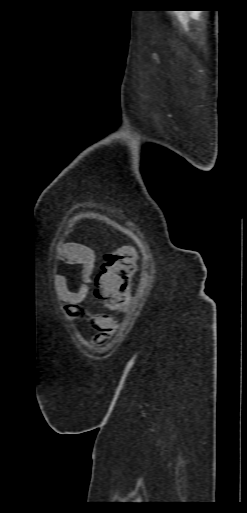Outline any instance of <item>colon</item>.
Segmentation results:
<instances>
[{
	"label": "colon",
	"instance_id": "5ec220e1",
	"mask_svg": "<svg viewBox=\"0 0 247 513\" xmlns=\"http://www.w3.org/2000/svg\"><path fill=\"white\" fill-rule=\"evenodd\" d=\"M136 256L130 248L108 252L94 275L93 292L111 310L122 309L130 296Z\"/></svg>",
	"mask_w": 247,
	"mask_h": 513
}]
</instances>
